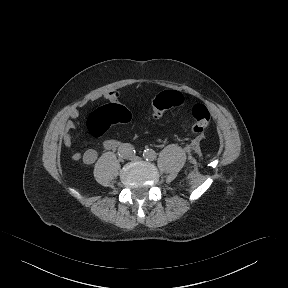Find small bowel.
I'll return each mask as SVG.
<instances>
[{
	"instance_id": "small-bowel-1",
	"label": "small bowel",
	"mask_w": 288,
	"mask_h": 288,
	"mask_svg": "<svg viewBox=\"0 0 288 288\" xmlns=\"http://www.w3.org/2000/svg\"><path fill=\"white\" fill-rule=\"evenodd\" d=\"M116 144H117L116 141L109 140L104 143V146L106 149H112L116 146ZM75 155L77 156V159L80 157L79 153H75ZM96 159H97V152L93 149H88L83 154V161L85 164L91 165L96 161Z\"/></svg>"
}]
</instances>
